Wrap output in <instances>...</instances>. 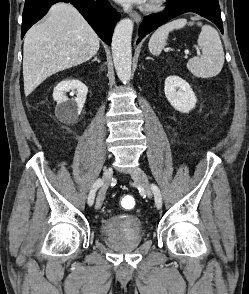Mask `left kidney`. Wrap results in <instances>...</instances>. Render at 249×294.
Here are the masks:
<instances>
[{"label":"left kidney","instance_id":"left-kidney-1","mask_svg":"<svg viewBox=\"0 0 249 294\" xmlns=\"http://www.w3.org/2000/svg\"><path fill=\"white\" fill-rule=\"evenodd\" d=\"M165 96L169 103L179 112L189 113L197 103L191 86L182 78L171 75L166 78Z\"/></svg>","mask_w":249,"mask_h":294}]
</instances>
